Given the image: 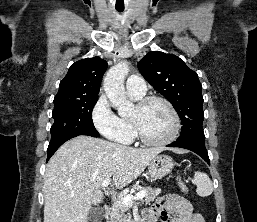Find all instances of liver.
<instances>
[{"instance_id": "liver-1", "label": "liver", "mask_w": 257, "mask_h": 222, "mask_svg": "<svg viewBox=\"0 0 257 222\" xmlns=\"http://www.w3.org/2000/svg\"><path fill=\"white\" fill-rule=\"evenodd\" d=\"M163 150L136 149L88 136L65 142L46 166L44 222H88L92 204L103 200L104 180L109 179L113 189H122Z\"/></svg>"}]
</instances>
